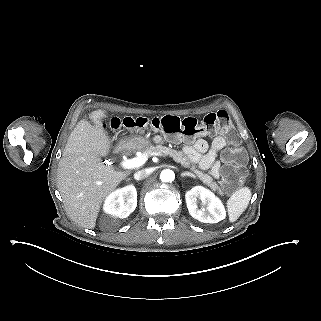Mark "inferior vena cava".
<instances>
[{
    "label": "inferior vena cava",
    "mask_w": 321,
    "mask_h": 321,
    "mask_svg": "<svg viewBox=\"0 0 321 321\" xmlns=\"http://www.w3.org/2000/svg\"><path fill=\"white\" fill-rule=\"evenodd\" d=\"M150 175H151V169L145 168V169H142V170L136 172L134 174V179L140 181V180H143V179L149 177Z\"/></svg>",
    "instance_id": "inferior-vena-cava-1"
}]
</instances>
